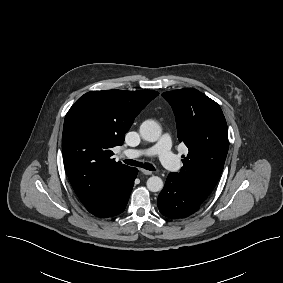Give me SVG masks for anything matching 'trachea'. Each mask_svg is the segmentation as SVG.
<instances>
[{
	"label": "trachea",
	"mask_w": 283,
	"mask_h": 283,
	"mask_svg": "<svg viewBox=\"0 0 283 283\" xmlns=\"http://www.w3.org/2000/svg\"><path fill=\"white\" fill-rule=\"evenodd\" d=\"M124 163L127 164V165H131V166L143 167L144 169L150 170V171L155 170V167L150 163H144L143 164L142 162H138V161H135V160H129V159L124 160Z\"/></svg>",
	"instance_id": "obj_1"
}]
</instances>
